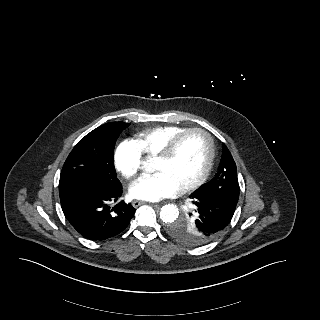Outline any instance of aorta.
Listing matches in <instances>:
<instances>
[{
  "mask_svg": "<svg viewBox=\"0 0 320 320\" xmlns=\"http://www.w3.org/2000/svg\"><path fill=\"white\" fill-rule=\"evenodd\" d=\"M179 216V210L174 204H167L161 208L160 218L165 223L174 222Z\"/></svg>",
  "mask_w": 320,
  "mask_h": 320,
  "instance_id": "762f6f07",
  "label": "aorta"
}]
</instances>
